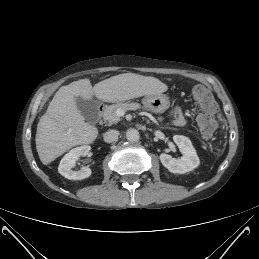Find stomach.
I'll list each match as a JSON object with an SVG mask.
<instances>
[{
	"mask_svg": "<svg viewBox=\"0 0 259 259\" xmlns=\"http://www.w3.org/2000/svg\"><path fill=\"white\" fill-rule=\"evenodd\" d=\"M144 106L155 113L164 112L169 108V98L164 94L146 95L142 100Z\"/></svg>",
	"mask_w": 259,
	"mask_h": 259,
	"instance_id": "obj_1",
	"label": "stomach"
}]
</instances>
